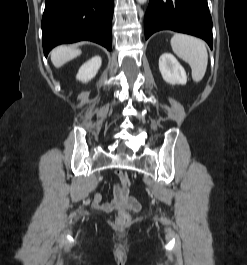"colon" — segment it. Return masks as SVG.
Instances as JSON below:
<instances>
[{
	"label": "colon",
	"mask_w": 247,
	"mask_h": 265,
	"mask_svg": "<svg viewBox=\"0 0 247 265\" xmlns=\"http://www.w3.org/2000/svg\"><path fill=\"white\" fill-rule=\"evenodd\" d=\"M118 177L120 180V187L123 191L128 192L129 186H130V180L128 176L122 172L118 173ZM130 221V215L124 211L121 210L116 218V225L118 227H125Z\"/></svg>",
	"instance_id": "obj_1"
}]
</instances>
